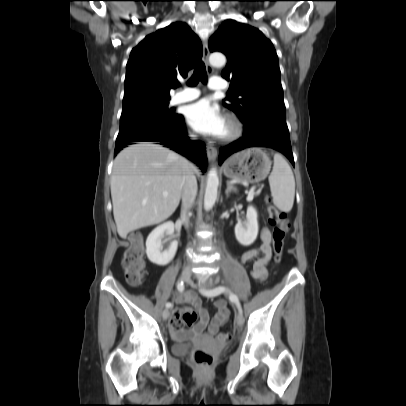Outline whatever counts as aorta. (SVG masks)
Returning a JSON list of instances; mask_svg holds the SVG:
<instances>
[{
    "label": "aorta",
    "instance_id": "762f6f07",
    "mask_svg": "<svg viewBox=\"0 0 406 406\" xmlns=\"http://www.w3.org/2000/svg\"><path fill=\"white\" fill-rule=\"evenodd\" d=\"M210 64L215 67H222L226 63V58L222 53H212L209 57ZM219 178L216 168H212L207 177L206 190L204 195V208L210 210L216 200L218 193Z\"/></svg>",
    "mask_w": 406,
    "mask_h": 406
}]
</instances>
